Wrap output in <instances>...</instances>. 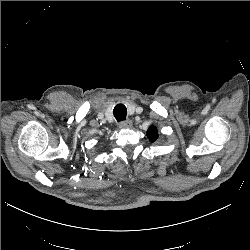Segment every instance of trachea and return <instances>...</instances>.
Returning <instances> with one entry per match:
<instances>
[{
  "instance_id": "3493384b",
  "label": "trachea",
  "mask_w": 250,
  "mask_h": 250,
  "mask_svg": "<svg viewBox=\"0 0 250 250\" xmlns=\"http://www.w3.org/2000/svg\"><path fill=\"white\" fill-rule=\"evenodd\" d=\"M113 114L118 122L124 121L127 115V109L123 104H117L113 109Z\"/></svg>"
}]
</instances>
